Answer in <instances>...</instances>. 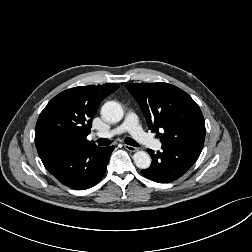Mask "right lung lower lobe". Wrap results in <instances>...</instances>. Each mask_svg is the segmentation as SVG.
<instances>
[{"label":"right lung lower lobe","instance_id":"obj_1","mask_svg":"<svg viewBox=\"0 0 252 252\" xmlns=\"http://www.w3.org/2000/svg\"><path fill=\"white\" fill-rule=\"evenodd\" d=\"M113 150V146H73L54 151L41 160L45 168L62 184L84 190L101 180Z\"/></svg>","mask_w":252,"mask_h":252}]
</instances>
